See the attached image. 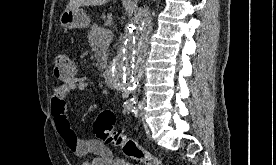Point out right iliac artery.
<instances>
[{"mask_svg": "<svg viewBox=\"0 0 276 165\" xmlns=\"http://www.w3.org/2000/svg\"><path fill=\"white\" fill-rule=\"evenodd\" d=\"M136 102L133 99L124 102L123 112L129 114L130 112H135Z\"/></svg>", "mask_w": 276, "mask_h": 165, "instance_id": "right-iliac-artery-1", "label": "right iliac artery"}]
</instances>
